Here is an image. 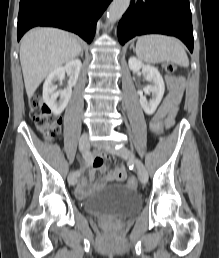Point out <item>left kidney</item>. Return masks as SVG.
<instances>
[{
  "label": "left kidney",
  "mask_w": 219,
  "mask_h": 258,
  "mask_svg": "<svg viewBox=\"0 0 219 258\" xmlns=\"http://www.w3.org/2000/svg\"><path fill=\"white\" fill-rule=\"evenodd\" d=\"M128 65L130 70L132 71H139L140 69H142V74L144 78L148 82L153 83V85H148L145 88V90L152 93V99L150 100V102L148 103L145 97L140 96V105L143 108L144 112L147 115H152L156 111L164 95L165 84L163 78L157 68L148 64H143L136 57H130Z\"/></svg>",
  "instance_id": "1"
}]
</instances>
